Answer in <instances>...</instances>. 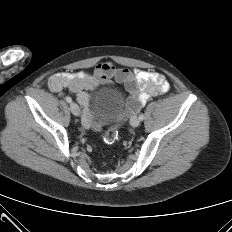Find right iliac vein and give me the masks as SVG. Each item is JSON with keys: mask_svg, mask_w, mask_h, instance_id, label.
I'll return each mask as SVG.
<instances>
[{"mask_svg": "<svg viewBox=\"0 0 232 232\" xmlns=\"http://www.w3.org/2000/svg\"><path fill=\"white\" fill-rule=\"evenodd\" d=\"M70 110H71L73 115H75V116L80 115V108L76 103L73 102L70 104Z\"/></svg>", "mask_w": 232, "mask_h": 232, "instance_id": "1", "label": "right iliac vein"}]
</instances>
